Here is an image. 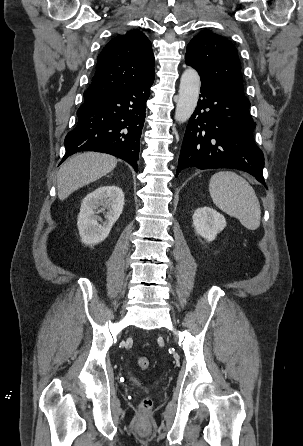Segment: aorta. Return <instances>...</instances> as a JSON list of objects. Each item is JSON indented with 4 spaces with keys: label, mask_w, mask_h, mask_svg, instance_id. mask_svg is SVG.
Instances as JSON below:
<instances>
[{
    "label": "aorta",
    "mask_w": 303,
    "mask_h": 446,
    "mask_svg": "<svg viewBox=\"0 0 303 446\" xmlns=\"http://www.w3.org/2000/svg\"><path fill=\"white\" fill-rule=\"evenodd\" d=\"M200 85V77L195 69L188 68L183 72L175 110V120L178 123L186 122L193 114L199 98Z\"/></svg>",
    "instance_id": "obj_1"
}]
</instances>
